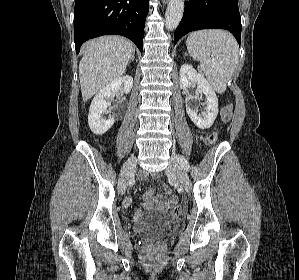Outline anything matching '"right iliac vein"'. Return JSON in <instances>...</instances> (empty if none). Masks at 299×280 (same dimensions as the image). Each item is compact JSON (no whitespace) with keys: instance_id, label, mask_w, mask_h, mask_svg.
I'll return each instance as SVG.
<instances>
[{"instance_id":"1","label":"right iliac vein","mask_w":299,"mask_h":280,"mask_svg":"<svg viewBox=\"0 0 299 280\" xmlns=\"http://www.w3.org/2000/svg\"><path fill=\"white\" fill-rule=\"evenodd\" d=\"M137 159L136 157H130L127 162L124 164L122 169L121 178L118 184V191L120 194H124L128 185V180L130 174L134 171L136 167Z\"/></svg>"}]
</instances>
